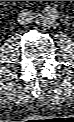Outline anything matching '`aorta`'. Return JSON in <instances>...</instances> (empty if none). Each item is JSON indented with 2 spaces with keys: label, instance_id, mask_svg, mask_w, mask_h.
Here are the masks:
<instances>
[{
  "label": "aorta",
  "instance_id": "obj_1",
  "mask_svg": "<svg viewBox=\"0 0 74 122\" xmlns=\"http://www.w3.org/2000/svg\"><path fill=\"white\" fill-rule=\"evenodd\" d=\"M45 18H46L47 21L52 22L56 19V16L51 15V14L48 13V14L45 15Z\"/></svg>",
  "mask_w": 74,
  "mask_h": 122
}]
</instances>
